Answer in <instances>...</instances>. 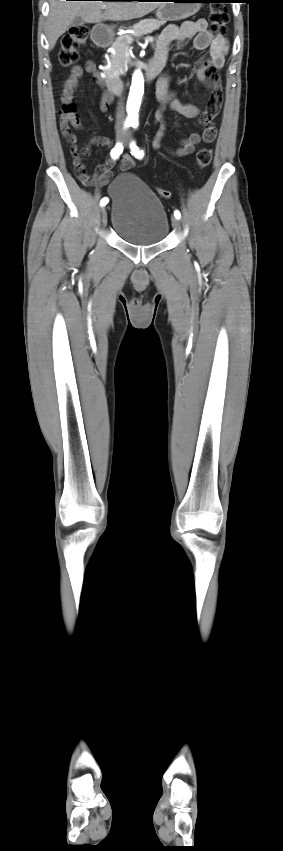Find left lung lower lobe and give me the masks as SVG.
Wrapping results in <instances>:
<instances>
[{
	"label": "left lung lower lobe",
	"instance_id": "obj_1",
	"mask_svg": "<svg viewBox=\"0 0 283 851\" xmlns=\"http://www.w3.org/2000/svg\"><path fill=\"white\" fill-rule=\"evenodd\" d=\"M200 1H202V2H210V3H212V2H213V1H210V0H200ZM218 2H219V1H218Z\"/></svg>",
	"mask_w": 283,
	"mask_h": 851
}]
</instances>
